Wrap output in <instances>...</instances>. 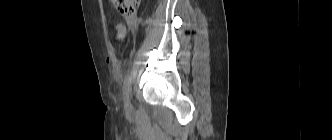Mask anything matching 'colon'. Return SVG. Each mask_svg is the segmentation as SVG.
<instances>
[{
  "label": "colon",
  "mask_w": 332,
  "mask_h": 140,
  "mask_svg": "<svg viewBox=\"0 0 332 140\" xmlns=\"http://www.w3.org/2000/svg\"><path fill=\"white\" fill-rule=\"evenodd\" d=\"M116 10L126 18H131L135 15L141 0H109ZM118 38L124 37V29L121 25L116 26Z\"/></svg>",
  "instance_id": "obj_1"
}]
</instances>
